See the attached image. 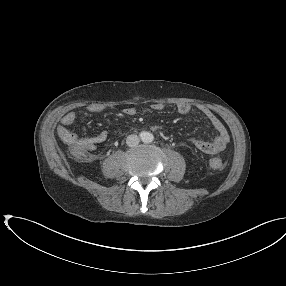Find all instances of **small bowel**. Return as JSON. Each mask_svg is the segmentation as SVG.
Here are the masks:
<instances>
[{"mask_svg": "<svg viewBox=\"0 0 286 286\" xmlns=\"http://www.w3.org/2000/svg\"><path fill=\"white\" fill-rule=\"evenodd\" d=\"M151 108L154 111H162L164 109V105L162 103H154ZM197 108L207 117L212 126L214 127L217 135L211 141L202 140L199 138H193V145L202 152L205 153H218L223 151L228 142H229V133L222 123V121L207 107L203 105L197 106ZM193 109V106L186 102H181L176 105V110L180 114H188ZM102 108L100 106L92 105L89 106L87 111L90 114H98L102 112ZM124 114L127 116H133L136 114V109L133 107H128L124 109ZM77 122V115L75 112L70 111L67 112L61 119V125L57 128L58 136L64 141L69 137H76L78 145L85 152H94L97 149V146L100 143H103L108 138L107 131H101L98 134L90 137H78L74 132H72L71 128L75 126Z\"/></svg>", "mask_w": 286, "mask_h": 286, "instance_id": "obj_1", "label": "small bowel"}]
</instances>
